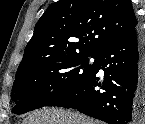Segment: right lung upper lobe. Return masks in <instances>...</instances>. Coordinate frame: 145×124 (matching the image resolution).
<instances>
[{"instance_id":"right-lung-upper-lobe-1","label":"right lung upper lobe","mask_w":145,"mask_h":124,"mask_svg":"<svg viewBox=\"0 0 145 124\" xmlns=\"http://www.w3.org/2000/svg\"><path fill=\"white\" fill-rule=\"evenodd\" d=\"M137 25L130 0H59L37 22L15 78L46 60L98 55Z\"/></svg>"}]
</instances>
